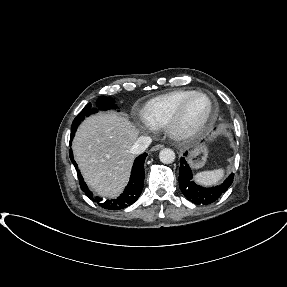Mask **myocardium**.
Here are the masks:
<instances>
[{
  "label": "myocardium",
  "mask_w": 287,
  "mask_h": 287,
  "mask_svg": "<svg viewBox=\"0 0 287 287\" xmlns=\"http://www.w3.org/2000/svg\"><path fill=\"white\" fill-rule=\"evenodd\" d=\"M197 97L208 100L209 109L204 118L195 125H186L185 114L190 102ZM217 116V105L214 99L204 92L195 91L189 95L178 107L173 116L166 123V131L173 139L177 141H188L208 129Z\"/></svg>",
  "instance_id": "f54148a6"
}]
</instances>
